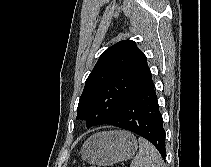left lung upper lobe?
I'll use <instances>...</instances> for the list:
<instances>
[{
  "mask_svg": "<svg viewBox=\"0 0 211 167\" xmlns=\"http://www.w3.org/2000/svg\"><path fill=\"white\" fill-rule=\"evenodd\" d=\"M152 81L147 58L132 40L105 50L88 76L77 107L87 127L107 123L125 102Z\"/></svg>",
  "mask_w": 211,
  "mask_h": 167,
  "instance_id": "1",
  "label": "left lung upper lobe"
}]
</instances>
